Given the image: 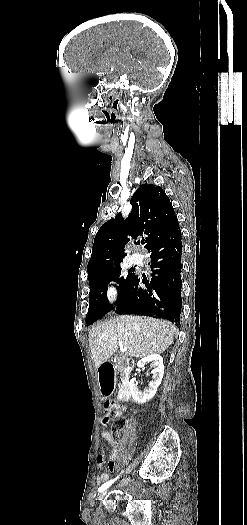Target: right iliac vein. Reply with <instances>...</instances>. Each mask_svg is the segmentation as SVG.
<instances>
[{
  "instance_id": "obj_1",
  "label": "right iliac vein",
  "mask_w": 247,
  "mask_h": 525,
  "mask_svg": "<svg viewBox=\"0 0 247 525\" xmlns=\"http://www.w3.org/2000/svg\"><path fill=\"white\" fill-rule=\"evenodd\" d=\"M107 491H103L99 496H98V500H101L105 495H106Z\"/></svg>"
}]
</instances>
